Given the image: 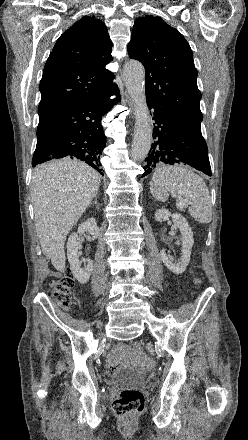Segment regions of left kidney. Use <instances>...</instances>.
Masks as SVG:
<instances>
[{
	"mask_svg": "<svg viewBox=\"0 0 248 440\" xmlns=\"http://www.w3.org/2000/svg\"><path fill=\"white\" fill-rule=\"evenodd\" d=\"M172 218L174 225L179 228L182 235V253L178 262H173L171 256L165 250L160 251V256L165 266L175 274H182L190 261L191 249L194 243L193 232L187 220L179 213L171 214L166 209H159L155 213V220L162 222Z\"/></svg>",
	"mask_w": 248,
	"mask_h": 440,
	"instance_id": "1",
	"label": "left kidney"
}]
</instances>
